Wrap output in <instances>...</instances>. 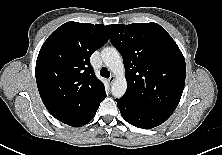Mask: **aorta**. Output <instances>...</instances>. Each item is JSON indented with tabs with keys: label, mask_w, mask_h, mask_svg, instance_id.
Wrapping results in <instances>:
<instances>
[{
	"label": "aorta",
	"mask_w": 222,
	"mask_h": 155,
	"mask_svg": "<svg viewBox=\"0 0 222 155\" xmlns=\"http://www.w3.org/2000/svg\"><path fill=\"white\" fill-rule=\"evenodd\" d=\"M101 57L105 65L115 75L111 87L112 95L116 98H120L127 90L125 68L120 53L114 47H106L101 51Z\"/></svg>",
	"instance_id": "aorta-1"
}]
</instances>
